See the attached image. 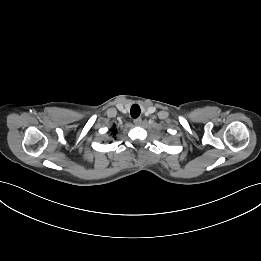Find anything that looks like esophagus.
Masks as SVG:
<instances>
[{
	"mask_svg": "<svg viewBox=\"0 0 261 261\" xmlns=\"http://www.w3.org/2000/svg\"><path fill=\"white\" fill-rule=\"evenodd\" d=\"M134 124H135L136 126H141V125H142V119H141V118L135 119V120H134Z\"/></svg>",
	"mask_w": 261,
	"mask_h": 261,
	"instance_id": "esophagus-1",
	"label": "esophagus"
}]
</instances>
